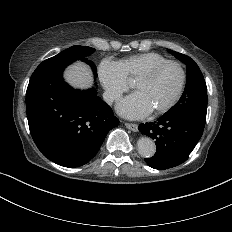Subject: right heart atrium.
<instances>
[{"label": "right heart atrium", "instance_id": "1", "mask_svg": "<svg viewBox=\"0 0 232 232\" xmlns=\"http://www.w3.org/2000/svg\"><path fill=\"white\" fill-rule=\"evenodd\" d=\"M96 74L109 101L117 99L128 88L121 74L119 63L108 57L100 60Z\"/></svg>", "mask_w": 232, "mask_h": 232}]
</instances>
